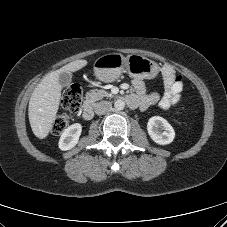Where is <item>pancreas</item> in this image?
I'll list each match as a JSON object with an SVG mask.
<instances>
[{"mask_svg":"<svg viewBox=\"0 0 227 227\" xmlns=\"http://www.w3.org/2000/svg\"><path fill=\"white\" fill-rule=\"evenodd\" d=\"M104 97L112 98L113 95L105 90H96V89L86 93V99L91 103H94Z\"/></svg>","mask_w":227,"mask_h":227,"instance_id":"obj_1","label":"pancreas"}]
</instances>
